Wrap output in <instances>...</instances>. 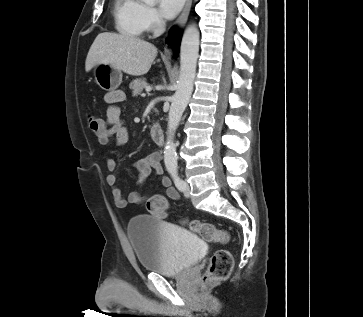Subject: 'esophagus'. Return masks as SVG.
Instances as JSON below:
<instances>
[{
  "label": "esophagus",
  "instance_id": "obj_1",
  "mask_svg": "<svg viewBox=\"0 0 363 317\" xmlns=\"http://www.w3.org/2000/svg\"><path fill=\"white\" fill-rule=\"evenodd\" d=\"M191 5H192V0H186L185 7H184L181 15L179 16V18L175 22L176 27L182 28L185 25V23H186V21L188 19L189 13H190ZM164 53H165L166 56L171 57L172 49L170 48V46L167 45L165 47Z\"/></svg>",
  "mask_w": 363,
  "mask_h": 317
}]
</instances>
